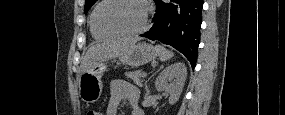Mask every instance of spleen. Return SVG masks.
Segmentation results:
<instances>
[{
    "mask_svg": "<svg viewBox=\"0 0 285 115\" xmlns=\"http://www.w3.org/2000/svg\"><path fill=\"white\" fill-rule=\"evenodd\" d=\"M156 49L158 51L160 60L163 62L169 60L174 55L173 52H171L170 50H167L161 45H157Z\"/></svg>",
    "mask_w": 285,
    "mask_h": 115,
    "instance_id": "spleen-1",
    "label": "spleen"
}]
</instances>
